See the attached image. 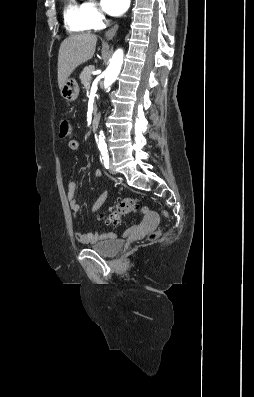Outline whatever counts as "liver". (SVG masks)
<instances>
[{
    "instance_id": "6515ba94",
    "label": "liver",
    "mask_w": 254,
    "mask_h": 397,
    "mask_svg": "<svg viewBox=\"0 0 254 397\" xmlns=\"http://www.w3.org/2000/svg\"><path fill=\"white\" fill-rule=\"evenodd\" d=\"M97 43V36L90 33L72 35L60 45L58 53V85L61 89L71 73L90 60Z\"/></svg>"
}]
</instances>
